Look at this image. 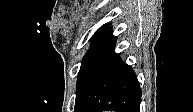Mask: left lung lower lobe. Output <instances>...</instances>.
<instances>
[{
	"label": "left lung lower lobe",
	"instance_id": "0a47b994",
	"mask_svg": "<svg viewBox=\"0 0 193 112\" xmlns=\"http://www.w3.org/2000/svg\"><path fill=\"white\" fill-rule=\"evenodd\" d=\"M92 41L77 78L75 112H140L139 82L133 69L115 53L117 37L110 26Z\"/></svg>",
	"mask_w": 193,
	"mask_h": 112
}]
</instances>
